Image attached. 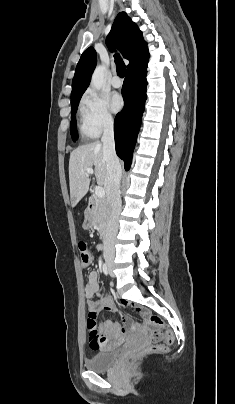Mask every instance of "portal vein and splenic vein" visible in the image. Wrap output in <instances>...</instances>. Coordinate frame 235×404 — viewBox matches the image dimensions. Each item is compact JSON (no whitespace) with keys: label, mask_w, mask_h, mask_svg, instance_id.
Segmentation results:
<instances>
[{"label":"portal vein and splenic vein","mask_w":235,"mask_h":404,"mask_svg":"<svg viewBox=\"0 0 235 404\" xmlns=\"http://www.w3.org/2000/svg\"><path fill=\"white\" fill-rule=\"evenodd\" d=\"M86 173L88 174V175H92V174H94V171H93V169L92 168H87L86 169ZM95 195L98 197V198H103L104 196H105V191H104V189L101 187V186H96L95 187Z\"/></svg>","instance_id":"obj_1"}]
</instances>
